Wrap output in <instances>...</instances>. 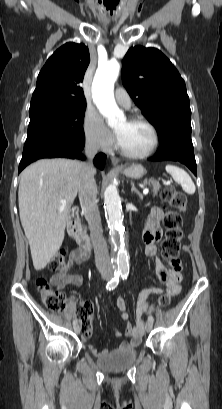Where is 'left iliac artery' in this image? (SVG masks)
Returning <instances> with one entry per match:
<instances>
[{"label": "left iliac artery", "instance_id": "1", "mask_svg": "<svg viewBox=\"0 0 222 409\" xmlns=\"http://www.w3.org/2000/svg\"><path fill=\"white\" fill-rule=\"evenodd\" d=\"M121 276L123 279H126L129 273V270L127 269H122L121 271ZM148 321L154 322V317L152 315L148 316Z\"/></svg>", "mask_w": 222, "mask_h": 409}]
</instances>
